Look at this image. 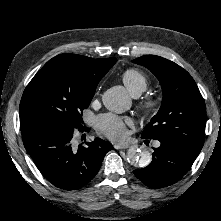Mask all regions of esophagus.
<instances>
[{"label":"esophagus","mask_w":221,"mask_h":221,"mask_svg":"<svg viewBox=\"0 0 221 221\" xmlns=\"http://www.w3.org/2000/svg\"><path fill=\"white\" fill-rule=\"evenodd\" d=\"M129 146H130V145H128V144H126V145L117 144V145H115L114 147H115L116 149H127V148H129Z\"/></svg>","instance_id":"obj_1"}]
</instances>
